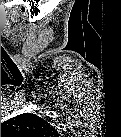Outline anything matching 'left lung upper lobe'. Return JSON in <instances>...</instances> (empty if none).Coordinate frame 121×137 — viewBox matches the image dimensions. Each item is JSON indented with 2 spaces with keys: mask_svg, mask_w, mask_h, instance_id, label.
<instances>
[{
  "mask_svg": "<svg viewBox=\"0 0 121 137\" xmlns=\"http://www.w3.org/2000/svg\"><path fill=\"white\" fill-rule=\"evenodd\" d=\"M54 133V128L43 118L30 113L13 117L1 124L3 136L41 137Z\"/></svg>",
  "mask_w": 121,
  "mask_h": 137,
  "instance_id": "5c2ea615",
  "label": "left lung upper lobe"
}]
</instances>
